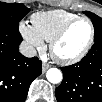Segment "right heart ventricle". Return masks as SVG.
I'll return each instance as SVG.
<instances>
[{
	"label": "right heart ventricle",
	"mask_w": 102,
	"mask_h": 102,
	"mask_svg": "<svg viewBox=\"0 0 102 102\" xmlns=\"http://www.w3.org/2000/svg\"><path fill=\"white\" fill-rule=\"evenodd\" d=\"M77 17L64 10L40 11L31 16V24L44 41L50 42L53 36Z\"/></svg>",
	"instance_id": "right-heart-ventricle-1"
}]
</instances>
